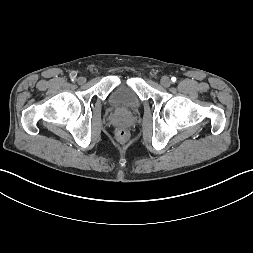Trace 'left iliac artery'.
<instances>
[{
    "label": "left iliac artery",
    "instance_id": "44dca946",
    "mask_svg": "<svg viewBox=\"0 0 253 253\" xmlns=\"http://www.w3.org/2000/svg\"><path fill=\"white\" fill-rule=\"evenodd\" d=\"M171 80H172V82H175L176 81V77H172Z\"/></svg>",
    "mask_w": 253,
    "mask_h": 253
}]
</instances>
